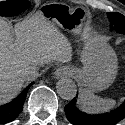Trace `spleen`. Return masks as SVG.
Here are the masks:
<instances>
[{"label":"spleen","instance_id":"spleen-1","mask_svg":"<svg viewBox=\"0 0 125 125\" xmlns=\"http://www.w3.org/2000/svg\"><path fill=\"white\" fill-rule=\"evenodd\" d=\"M79 105L86 112L99 113L112 109L116 105V101L103 99L94 95L91 91L82 90L79 95Z\"/></svg>","mask_w":125,"mask_h":125}]
</instances>
